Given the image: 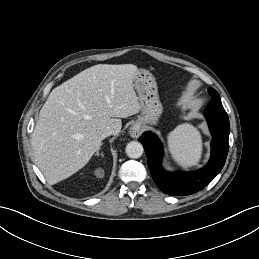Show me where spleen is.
<instances>
[{"label":"spleen","instance_id":"3e777b00","mask_svg":"<svg viewBox=\"0 0 259 259\" xmlns=\"http://www.w3.org/2000/svg\"><path fill=\"white\" fill-rule=\"evenodd\" d=\"M172 158L182 167L196 165L202 154V138L199 131L189 123L177 126L167 136Z\"/></svg>","mask_w":259,"mask_h":259}]
</instances>
